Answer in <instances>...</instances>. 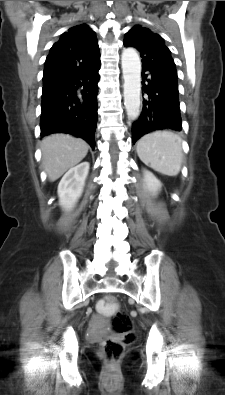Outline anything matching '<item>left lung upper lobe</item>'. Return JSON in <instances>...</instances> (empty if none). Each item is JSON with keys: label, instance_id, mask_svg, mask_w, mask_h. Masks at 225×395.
I'll list each match as a JSON object with an SVG mask.
<instances>
[{"label": "left lung upper lobe", "instance_id": "1", "mask_svg": "<svg viewBox=\"0 0 225 395\" xmlns=\"http://www.w3.org/2000/svg\"><path fill=\"white\" fill-rule=\"evenodd\" d=\"M124 45L135 47L140 52L142 68L160 69L177 75L174 60L164 39L150 29L134 26L125 34Z\"/></svg>", "mask_w": 225, "mask_h": 395}]
</instances>
